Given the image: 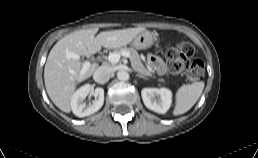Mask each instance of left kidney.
Returning a JSON list of instances; mask_svg holds the SVG:
<instances>
[{"instance_id": "1", "label": "left kidney", "mask_w": 258, "mask_h": 158, "mask_svg": "<svg viewBox=\"0 0 258 158\" xmlns=\"http://www.w3.org/2000/svg\"><path fill=\"white\" fill-rule=\"evenodd\" d=\"M145 106L159 114H165L172 105V91L168 88H144L141 91Z\"/></svg>"}]
</instances>
